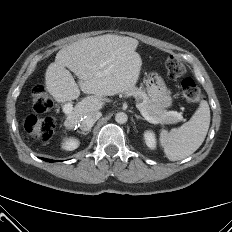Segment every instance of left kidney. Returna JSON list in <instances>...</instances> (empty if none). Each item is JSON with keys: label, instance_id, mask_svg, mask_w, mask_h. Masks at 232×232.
I'll use <instances>...</instances> for the list:
<instances>
[{"label": "left kidney", "instance_id": "5707ae66", "mask_svg": "<svg viewBox=\"0 0 232 232\" xmlns=\"http://www.w3.org/2000/svg\"><path fill=\"white\" fill-rule=\"evenodd\" d=\"M144 139H145L146 145L150 149H155L156 148V138H155V134L153 132H151V131L145 132Z\"/></svg>", "mask_w": 232, "mask_h": 232}]
</instances>
